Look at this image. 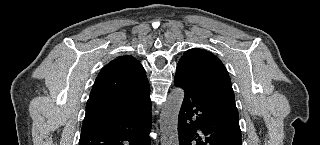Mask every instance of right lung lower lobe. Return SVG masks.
Masks as SVG:
<instances>
[{
    "label": "right lung lower lobe",
    "instance_id": "1",
    "mask_svg": "<svg viewBox=\"0 0 320 145\" xmlns=\"http://www.w3.org/2000/svg\"><path fill=\"white\" fill-rule=\"evenodd\" d=\"M150 88L128 109L83 122L79 145H150Z\"/></svg>",
    "mask_w": 320,
    "mask_h": 145
}]
</instances>
